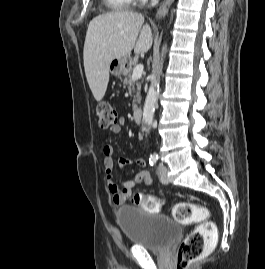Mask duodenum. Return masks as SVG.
<instances>
[{
    "mask_svg": "<svg viewBox=\"0 0 265 269\" xmlns=\"http://www.w3.org/2000/svg\"><path fill=\"white\" fill-rule=\"evenodd\" d=\"M143 109L142 108H137L133 111V119L136 123H140L143 120Z\"/></svg>",
    "mask_w": 265,
    "mask_h": 269,
    "instance_id": "obj_1",
    "label": "duodenum"
}]
</instances>
